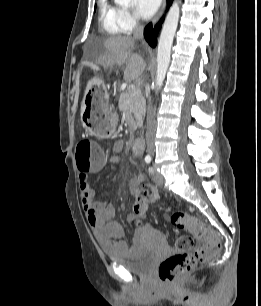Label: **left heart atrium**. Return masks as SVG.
Masks as SVG:
<instances>
[{"label": "left heart atrium", "mask_w": 261, "mask_h": 306, "mask_svg": "<svg viewBox=\"0 0 261 306\" xmlns=\"http://www.w3.org/2000/svg\"><path fill=\"white\" fill-rule=\"evenodd\" d=\"M161 0H134L135 13L141 19H149L158 10Z\"/></svg>", "instance_id": "left-heart-atrium-1"}]
</instances>
